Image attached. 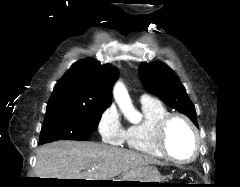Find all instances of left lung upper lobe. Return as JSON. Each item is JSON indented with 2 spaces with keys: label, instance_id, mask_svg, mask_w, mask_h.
<instances>
[{
  "label": "left lung upper lobe",
  "instance_id": "1",
  "mask_svg": "<svg viewBox=\"0 0 240 187\" xmlns=\"http://www.w3.org/2000/svg\"><path fill=\"white\" fill-rule=\"evenodd\" d=\"M139 75L145 89L187 115L197 126L196 111L177 75L162 62L142 63Z\"/></svg>",
  "mask_w": 240,
  "mask_h": 187
}]
</instances>
